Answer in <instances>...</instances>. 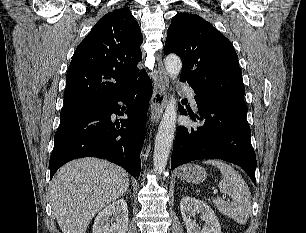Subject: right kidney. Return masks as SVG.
Segmentation results:
<instances>
[{"label":"right kidney","instance_id":"1","mask_svg":"<svg viewBox=\"0 0 306 233\" xmlns=\"http://www.w3.org/2000/svg\"><path fill=\"white\" fill-rule=\"evenodd\" d=\"M128 221L127 203L124 199H118L96 216L93 233H126Z\"/></svg>","mask_w":306,"mask_h":233}]
</instances>
